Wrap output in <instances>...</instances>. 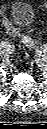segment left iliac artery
Instances as JSON below:
<instances>
[{
    "label": "left iliac artery",
    "instance_id": "1",
    "mask_svg": "<svg viewBox=\"0 0 47 129\" xmlns=\"http://www.w3.org/2000/svg\"><path fill=\"white\" fill-rule=\"evenodd\" d=\"M34 45H35V44L32 42L31 46H34ZM43 50H44V51H47L46 46H44Z\"/></svg>",
    "mask_w": 47,
    "mask_h": 129
}]
</instances>
